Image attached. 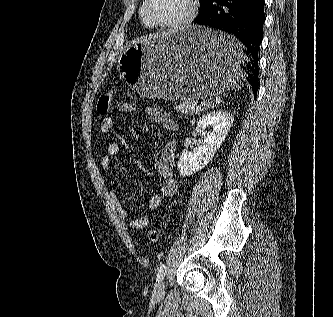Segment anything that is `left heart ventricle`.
<instances>
[{
	"instance_id": "obj_1",
	"label": "left heart ventricle",
	"mask_w": 333,
	"mask_h": 317,
	"mask_svg": "<svg viewBox=\"0 0 333 317\" xmlns=\"http://www.w3.org/2000/svg\"><path fill=\"white\" fill-rule=\"evenodd\" d=\"M148 15L159 22H173L180 19L187 11L186 0H150Z\"/></svg>"
}]
</instances>
